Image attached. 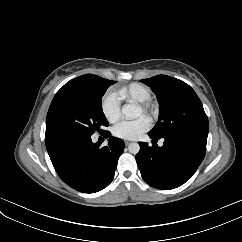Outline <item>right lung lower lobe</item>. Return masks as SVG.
<instances>
[{"label":"right lung lower lobe","instance_id":"right-lung-lower-lobe-1","mask_svg":"<svg viewBox=\"0 0 242 242\" xmlns=\"http://www.w3.org/2000/svg\"><path fill=\"white\" fill-rule=\"evenodd\" d=\"M45 144L59 177L83 193L98 192L111 183L125 147L122 139L110 136L108 145L100 148L91 135L81 131L46 136Z\"/></svg>","mask_w":242,"mask_h":242}]
</instances>
